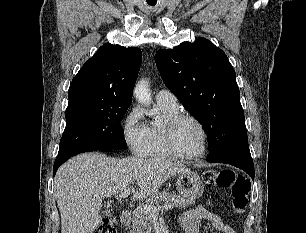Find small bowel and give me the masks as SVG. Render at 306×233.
I'll use <instances>...</instances> for the list:
<instances>
[{"label":"small bowel","instance_id":"obj_1","mask_svg":"<svg viewBox=\"0 0 306 233\" xmlns=\"http://www.w3.org/2000/svg\"><path fill=\"white\" fill-rule=\"evenodd\" d=\"M206 220L213 228L212 233H236L235 230L226 224L218 215H215L203 207H196L184 211L178 218L185 233H198L201 221Z\"/></svg>","mask_w":306,"mask_h":233}]
</instances>
